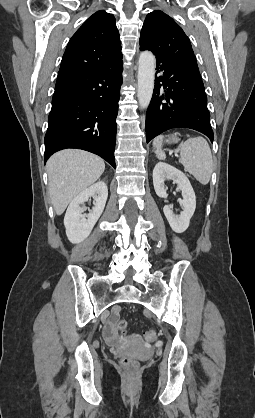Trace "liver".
Segmentation results:
<instances>
[{
	"label": "liver",
	"instance_id": "obj_1",
	"mask_svg": "<svg viewBox=\"0 0 255 418\" xmlns=\"http://www.w3.org/2000/svg\"><path fill=\"white\" fill-rule=\"evenodd\" d=\"M46 169L51 202L56 214L61 215L74 197L100 178L105 163L92 153L67 149L52 155Z\"/></svg>",
	"mask_w": 255,
	"mask_h": 418
}]
</instances>
